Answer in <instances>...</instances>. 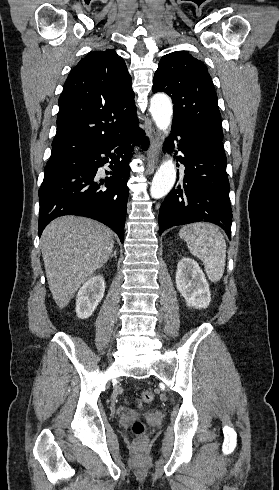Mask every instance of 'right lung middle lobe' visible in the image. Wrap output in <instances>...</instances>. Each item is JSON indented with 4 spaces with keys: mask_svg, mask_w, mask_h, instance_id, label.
I'll use <instances>...</instances> for the list:
<instances>
[{
    "mask_svg": "<svg viewBox=\"0 0 279 490\" xmlns=\"http://www.w3.org/2000/svg\"><path fill=\"white\" fill-rule=\"evenodd\" d=\"M66 165H67V163L47 164L46 167H45V175H44V178L49 177L52 174L60 171Z\"/></svg>",
    "mask_w": 279,
    "mask_h": 490,
    "instance_id": "1",
    "label": "right lung middle lobe"
}]
</instances>
